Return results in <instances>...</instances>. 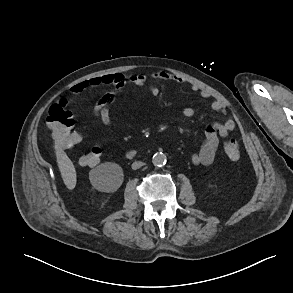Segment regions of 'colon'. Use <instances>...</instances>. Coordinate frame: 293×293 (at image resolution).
<instances>
[{"label":"colon","mask_w":293,"mask_h":293,"mask_svg":"<svg viewBox=\"0 0 293 293\" xmlns=\"http://www.w3.org/2000/svg\"><path fill=\"white\" fill-rule=\"evenodd\" d=\"M74 124L73 114L68 109L66 101H59L50 107L46 117V125L59 147H73L80 142L81 137L74 129ZM223 148L229 159H239V144L235 139L231 138L225 141ZM100 156L101 149L93 147L80 158V164L93 167L98 164Z\"/></svg>","instance_id":"1"}]
</instances>
